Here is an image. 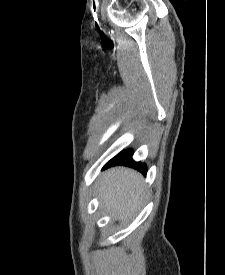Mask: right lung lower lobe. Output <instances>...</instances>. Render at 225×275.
<instances>
[{"instance_id":"obj_1","label":"right lung lower lobe","mask_w":225,"mask_h":275,"mask_svg":"<svg viewBox=\"0 0 225 275\" xmlns=\"http://www.w3.org/2000/svg\"><path fill=\"white\" fill-rule=\"evenodd\" d=\"M132 154H133L132 150H126L124 152H121L120 154L115 156L113 159H111L105 165V168L110 167V166H115V165H127V166H131V167L139 170L143 174H145L147 171L146 165L143 163H140V162H135L132 159Z\"/></svg>"}]
</instances>
